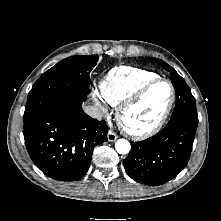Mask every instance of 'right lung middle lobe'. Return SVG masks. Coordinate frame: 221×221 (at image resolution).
Masks as SVG:
<instances>
[{
    "label": "right lung middle lobe",
    "mask_w": 221,
    "mask_h": 221,
    "mask_svg": "<svg viewBox=\"0 0 221 221\" xmlns=\"http://www.w3.org/2000/svg\"><path fill=\"white\" fill-rule=\"evenodd\" d=\"M98 56H71L46 71L28 94L24 112V129L59 107L82 104L89 94V73Z\"/></svg>",
    "instance_id": "obj_1"
}]
</instances>
